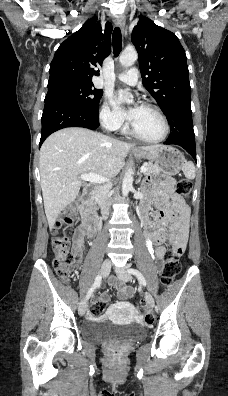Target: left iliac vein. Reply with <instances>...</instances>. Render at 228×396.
<instances>
[{
    "label": "left iliac vein",
    "mask_w": 228,
    "mask_h": 396,
    "mask_svg": "<svg viewBox=\"0 0 228 396\" xmlns=\"http://www.w3.org/2000/svg\"><path fill=\"white\" fill-rule=\"evenodd\" d=\"M116 273H117L118 277L123 281H129L132 278L131 275L128 272H126L125 270L117 269ZM145 300H146V303L149 308L154 307V299L148 291L145 292Z\"/></svg>",
    "instance_id": "left-iliac-vein-1"
}]
</instances>
